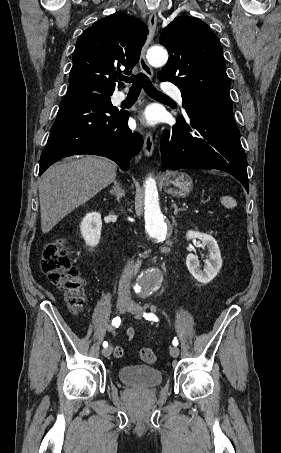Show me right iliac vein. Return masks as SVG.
<instances>
[{
  "instance_id": "1",
  "label": "right iliac vein",
  "mask_w": 281,
  "mask_h": 453,
  "mask_svg": "<svg viewBox=\"0 0 281 453\" xmlns=\"http://www.w3.org/2000/svg\"><path fill=\"white\" fill-rule=\"evenodd\" d=\"M115 305H116L115 309L124 312L125 309L129 306V301H116ZM112 349H114V346H109V348H103L101 352L103 357H110Z\"/></svg>"
}]
</instances>
